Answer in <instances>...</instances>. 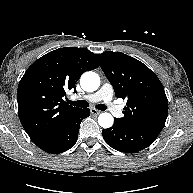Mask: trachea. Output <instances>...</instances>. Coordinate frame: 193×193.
Returning a JSON list of instances; mask_svg holds the SVG:
<instances>
[{
  "label": "trachea",
  "instance_id": "1",
  "mask_svg": "<svg viewBox=\"0 0 193 193\" xmlns=\"http://www.w3.org/2000/svg\"><path fill=\"white\" fill-rule=\"evenodd\" d=\"M68 103L73 105V106H77V107H81V108H86V107L89 106L88 102L85 101V100H78V101L68 100ZM96 108L99 109V110H102V111L107 109V107L104 104H98L96 106Z\"/></svg>",
  "mask_w": 193,
  "mask_h": 193
}]
</instances>
